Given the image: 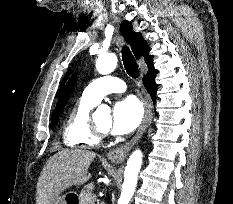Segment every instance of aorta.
I'll use <instances>...</instances> for the list:
<instances>
[{"label": "aorta", "instance_id": "obj_1", "mask_svg": "<svg viewBox=\"0 0 233 204\" xmlns=\"http://www.w3.org/2000/svg\"><path fill=\"white\" fill-rule=\"evenodd\" d=\"M117 57L115 54L108 53L100 55L96 61V69L102 74L106 75L114 71L117 66ZM110 108L107 105H100L97 108L95 117L101 114H109ZM142 165V152L140 150L134 151L127 162L124 172V183L122 185V193L118 200V204H129L135 188L137 185L138 174Z\"/></svg>", "mask_w": 233, "mask_h": 204}]
</instances>
